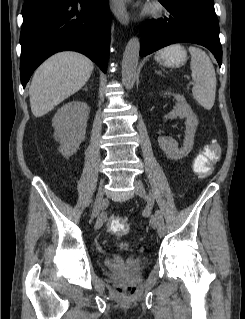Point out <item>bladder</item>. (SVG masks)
Here are the masks:
<instances>
[{
  "label": "bladder",
  "instance_id": "obj_1",
  "mask_svg": "<svg viewBox=\"0 0 245 319\" xmlns=\"http://www.w3.org/2000/svg\"><path fill=\"white\" fill-rule=\"evenodd\" d=\"M123 249L128 250L129 246H123Z\"/></svg>",
  "mask_w": 245,
  "mask_h": 319
}]
</instances>
